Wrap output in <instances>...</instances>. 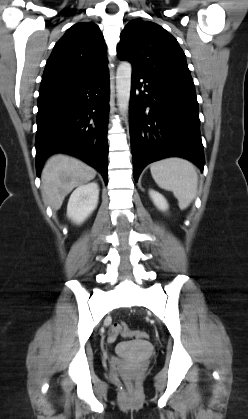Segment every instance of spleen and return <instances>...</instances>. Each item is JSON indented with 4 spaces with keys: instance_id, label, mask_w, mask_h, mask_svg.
Here are the masks:
<instances>
[{
    "instance_id": "obj_1",
    "label": "spleen",
    "mask_w": 248,
    "mask_h": 419,
    "mask_svg": "<svg viewBox=\"0 0 248 419\" xmlns=\"http://www.w3.org/2000/svg\"><path fill=\"white\" fill-rule=\"evenodd\" d=\"M150 170L160 188L173 192L180 209H186L196 197L198 175L191 162L167 158L151 164Z\"/></svg>"
}]
</instances>
